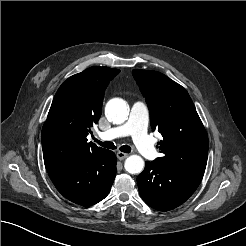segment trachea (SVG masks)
<instances>
[{
  "mask_svg": "<svg viewBox=\"0 0 246 246\" xmlns=\"http://www.w3.org/2000/svg\"><path fill=\"white\" fill-rule=\"evenodd\" d=\"M95 142H97L100 146L104 147V148H108V149H116V146L114 145L113 142H109V141H105V142H102V141H99L97 139H95ZM120 151L122 152H125V153H130L131 151V147L128 146V145H123L119 148Z\"/></svg>",
  "mask_w": 246,
  "mask_h": 246,
  "instance_id": "trachea-1",
  "label": "trachea"
}]
</instances>
